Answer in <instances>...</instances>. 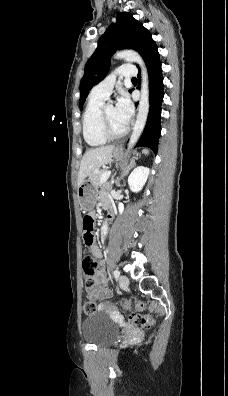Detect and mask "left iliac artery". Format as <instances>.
Returning <instances> with one entry per match:
<instances>
[{"label":"left iliac artery","instance_id":"1","mask_svg":"<svg viewBox=\"0 0 228 396\" xmlns=\"http://www.w3.org/2000/svg\"><path fill=\"white\" fill-rule=\"evenodd\" d=\"M113 275H114L115 279H118L120 276V272L118 270H114Z\"/></svg>","mask_w":228,"mask_h":396}]
</instances>
